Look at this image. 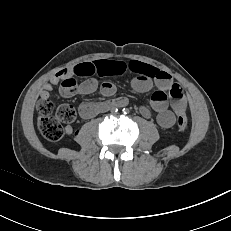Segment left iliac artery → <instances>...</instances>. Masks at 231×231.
Segmentation results:
<instances>
[{"label": "left iliac artery", "mask_w": 231, "mask_h": 231, "mask_svg": "<svg viewBox=\"0 0 231 231\" xmlns=\"http://www.w3.org/2000/svg\"><path fill=\"white\" fill-rule=\"evenodd\" d=\"M122 111H123L124 114H128L129 113V109H127V108H124Z\"/></svg>", "instance_id": "44dca946"}]
</instances>
